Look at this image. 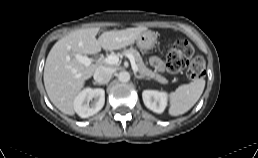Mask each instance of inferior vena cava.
Returning <instances> with one entry per match:
<instances>
[{"label": "inferior vena cava", "instance_id": "1", "mask_svg": "<svg viewBox=\"0 0 258 158\" xmlns=\"http://www.w3.org/2000/svg\"><path fill=\"white\" fill-rule=\"evenodd\" d=\"M112 77V70L105 66H100L94 72V80L99 84H106Z\"/></svg>", "mask_w": 258, "mask_h": 158}]
</instances>
